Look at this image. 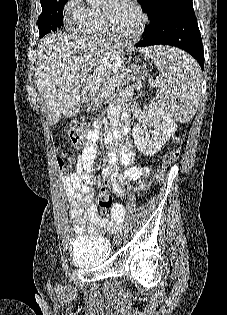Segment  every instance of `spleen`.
Masks as SVG:
<instances>
[{"label":"spleen","mask_w":227,"mask_h":315,"mask_svg":"<svg viewBox=\"0 0 227 315\" xmlns=\"http://www.w3.org/2000/svg\"><path fill=\"white\" fill-rule=\"evenodd\" d=\"M164 80L157 95L159 106L175 121L189 122L196 112L200 96V69L186 53L169 47H154L147 51Z\"/></svg>","instance_id":"3e777b00"}]
</instances>
